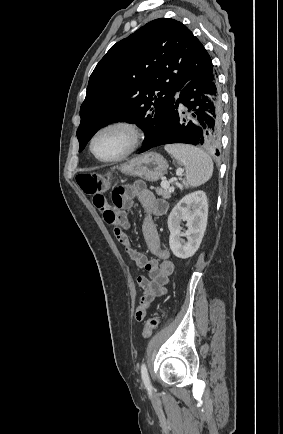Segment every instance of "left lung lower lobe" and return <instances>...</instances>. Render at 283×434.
<instances>
[{"label":"left lung lower lobe","instance_id":"obj_1","mask_svg":"<svg viewBox=\"0 0 283 434\" xmlns=\"http://www.w3.org/2000/svg\"><path fill=\"white\" fill-rule=\"evenodd\" d=\"M220 135V89L211 65L181 89L164 129L140 153L164 144L185 143L209 148L218 156Z\"/></svg>","mask_w":283,"mask_h":434}]
</instances>
